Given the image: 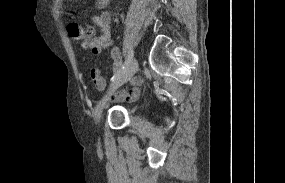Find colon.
Returning <instances> with one entry per match:
<instances>
[{
    "label": "colon",
    "instance_id": "obj_1",
    "mask_svg": "<svg viewBox=\"0 0 285 183\" xmlns=\"http://www.w3.org/2000/svg\"><path fill=\"white\" fill-rule=\"evenodd\" d=\"M69 32L73 38L79 39L89 36L91 34V30H83L78 25L73 24L69 27ZM96 41V40H95Z\"/></svg>",
    "mask_w": 285,
    "mask_h": 183
}]
</instances>
